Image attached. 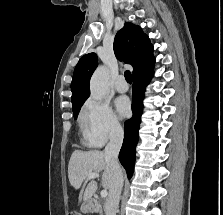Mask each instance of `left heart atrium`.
Instances as JSON below:
<instances>
[{"instance_id":"left-heart-atrium-1","label":"left heart atrium","mask_w":223,"mask_h":215,"mask_svg":"<svg viewBox=\"0 0 223 215\" xmlns=\"http://www.w3.org/2000/svg\"><path fill=\"white\" fill-rule=\"evenodd\" d=\"M115 105H116V108L118 110V112L120 113V115H127L128 112H129V101L126 97H118L116 100H115Z\"/></svg>"}]
</instances>
